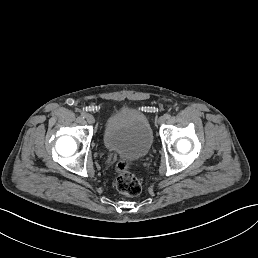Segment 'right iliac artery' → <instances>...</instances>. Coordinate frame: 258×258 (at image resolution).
I'll list each match as a JSON object with an SVG mask.
<instances>
[{
	"label": "right iliac artery",
	"instance_id": "82829eb1",
	"mask_svg": "<svg viewBox=\"0 0 258 258\" xmlns=\"http://www.w3.org/2000/svg\"><path fill=\"white\" fill-rule=\"evenodd\" d=\"M81 116H82L83 118H85V117L87 116V114H86V113H82Z\"/></svg>",
	"mask_w": 258,
	"mask_h": 258
}]
</instances>
